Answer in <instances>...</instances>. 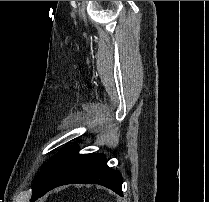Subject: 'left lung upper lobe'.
Here are the masks:
<instances>
[{
  "label": "left lung upper lobe",
  "instance_id": "left-lung-upper-lobe-1",
  "mask_svg": "<svg viewBox=\"0 0 209 202\" xmlns=\"http://www.w3.org/2000/svg\"><path fill=\"white\" fill-rule=\"evenodd\" d=\"M54 159V157H53ZM53 159H50L46 165L43 167V169L40 171L39 175L37 176V181L34 183L33 187H32V193L38 188V186L41 184V182L43 181L44 177L47 174V171L49 170Z\"/></svg>",
  "mask_w": 209,
  "mask_h": 202
}]
</instances>
